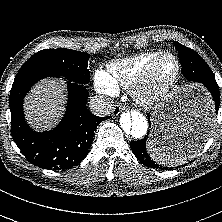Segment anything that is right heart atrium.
<instances>
[{
  "instance_id": "1",
  "label": "right heart atrium",
  "mask_w": 222,
  "mask_h": 222,
  "mask_svg": "<svg viewBox=\"0 0 222 222\" xmlns=\"http://www.w3.org/2000/svg\"><path fill=\"white\" fill-rule=\"evenodd\" d=\"M95 89L103 95L114 96L117 89L110 83L106 73L101 70H97L94 75Z\"/></svg>"
}]
</instances>
